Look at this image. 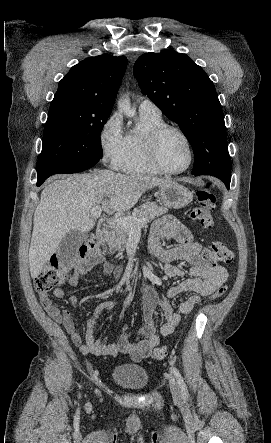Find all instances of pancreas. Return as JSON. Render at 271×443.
Here are the masks:
<instances>
[{
    "label": "pancreas",
    "instance_id": "pancreas-1",
    "mask_svg": "<svg viewBox=\"0 0 271 443\" xmlns=\"http://www.w3.org/2000/svg\"><path fill=\"white\" fill-rule=\"evenodd\" d=\"M167 212V208H162V206H157L155 202H151V204L139 206V210H133L131 218H140V220L141 218H145L147 222H150V220H154V218L162 216V214H167ZM133 229H138V227H133ZM131 231V227H128V229L117 227L113 235H107L106 241H108V245H110L112 249H122L123 245L127 243Z\"/></svg>",
    "mask_w": 271,
    "mask_h": 443
}]
</instances>
